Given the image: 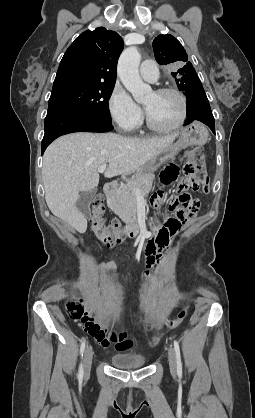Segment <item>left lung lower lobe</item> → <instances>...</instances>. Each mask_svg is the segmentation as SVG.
<instances>
[{
  "label": "left lung lower lobe",
  "mask_w": 255,
  "mask_h": 418,
  "mask_svg": "<svg viewBox=\"0 0 255 418\" xmlns=\"http://www.w3.org/2000/svg\"><path fill=\"white\" fill-rule=\"evenodd\" d=\"M194 120L206 124L215 134L214 117L205 92L187 97V120L184 125H188Z\"/></svg>",
  "instance_id": "obj_1"
}]
</instances>
